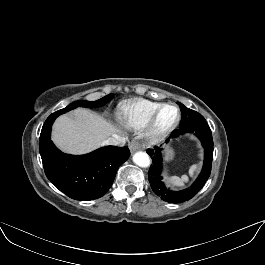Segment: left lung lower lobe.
<instances>
[{"label":"left lung lower lobe","mask_w":265,"mask_h":265,"mask_svg":"<svg viewBox=\"0 0 265 265\" xmlns=\"http://www.w3.org/2000/svg\"><path fill=\"white\" fill-rule=\"evenodd\" d=\"M186 132L195 133L200 139L204 148V163L202 170L192 185L186 189L174 191L168 188L162 177V148L155 146L153 149H148L147 153L152 157L153 163L150 166L148 179L153 192L162 200L169 203H182L193 198L204 186L208 180L212 167L213 157V138L209 125L205 119H200L194 123L179 128L172 132L166 143L170 138L178 137Z\"/></svg>","instance_id":"obj_1"}]
</instances>
